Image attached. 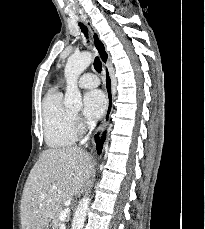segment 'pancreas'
Instances as JSON below:
<instances>
[{"label":"pancreas","instance_id":"pancreas-1","mask_svg":"<svg viewBox=\"0 0 205 229\" xmlns=\"http://www.w3.org/2000/svg\"><path fill=\"white\" fill-rule=\"evenodd\" d=\"M64 210L65 209L63 207H59L57 209V211L55 212V214L53 216L52 229H59V227L61 225V220L59 219V215Z\"/></svg>","mask_w":205,"mask_h":229}]
</instances>
